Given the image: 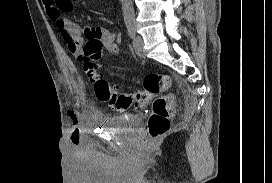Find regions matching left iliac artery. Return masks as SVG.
Wrapping results in <instances>:
<instances>
[{"label": "left iliac artery", "instance_id": "obj_1", "mask_svg": "<svg viewBox=\"0 0 272 183\" xmlns=\"http://www.w3.org/2000/svg\"><path fill=\"white\" fill-rule=\"evenodd\" d=\"M127 28H128V33H129L130 37L133 38L135 36V32H136L135 25L132 23H129L127 25Z\"/></svg>", "mask_w": 272, "mask_h": 183}]
</instances>
